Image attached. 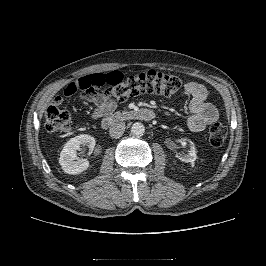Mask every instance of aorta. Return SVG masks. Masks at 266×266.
I'll use <instances>...</instances> for the list:
<instances>
[{"instance_id": "obj_1", "label": "aorta", "mask_w": 266, "mask_h": 266, "mask_svg": "<svg viewBox=\"0 0 266 266\" xmlns=\"http://www.w3.org/2000/svg\"><path fill=\"white\" fill-rule=\"evenodd\" d=\"M145 132V127L143 124L137 122L134 123L131 127V133L135 136H142Z\"/></svg>"}]
</instances>
